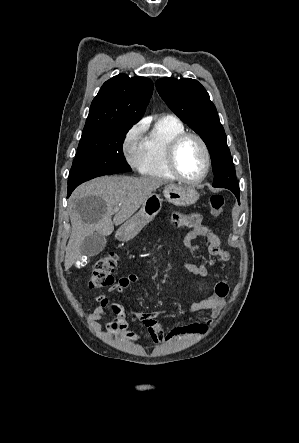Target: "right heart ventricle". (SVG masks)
I'll return each mask as SVG.
<instances>
[{
  "label": "right heart ventricle",
  "instance_id": "right-heart-ventricle-1",
  "mask_svg": "<svg viewBox=\"0 0 299 443\" xmlns=\"http://www.w3.org/2000/svg\"><path fill=\"white\" fill-rule=\"evenodd\" d=\"M185 131L184 124L177 117L164 116L158 119L143 140L140 173L146 177L173 180L175 177L167 165V149L171 141Z\"/></svg>",
  "mask_w": 299,
  "mask_h": 443
}]
</instances>
